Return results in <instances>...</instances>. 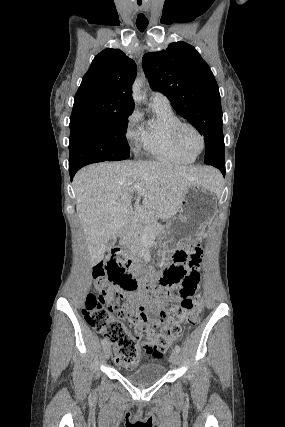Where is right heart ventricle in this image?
I'll list each match as a JSON object with an SVG mask.
<instances>
[{
  "label": "right heart ventricle",
  "mask_w": 285,
  "mask_h": 427,
  "mask_svg": "<svg viewBox=\"0 0 285 427\" xmlns=\"http://www.w3.org/2000/svg\"><path fill=\"white\" fill-rule=\"evenodd\" d=\"M153 116L142 122L139 127L138 140L142 148L159 161L188 164L195 157L183 153L175 144L171 134L172 126L180 119L172 110L170 104H150Z\"/></svg>",
  "instance_id": "1"
}]
</instances>
